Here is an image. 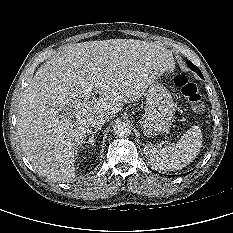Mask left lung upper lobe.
<instances>
[{
	"label": "left lung upper lobe",
	"mask_w": 233,
	"mask_h": 233,
	"mask_svg": "<svg viewBox=\"0 0 233 233\" xmlns=\"http://www.w3.org/2000/svg\"><path fill=\"white\" fill-rule=\"evenodd\" d=\"M187 64H188V66H189V68H190L191 70H193L194 72H196L201 78L203 77V75H202L200 69H199L197 66H195V65H194L193 63H191L190 61H187Z\"/></svg>",
	"instance_id": "1"
}]
</instances>
